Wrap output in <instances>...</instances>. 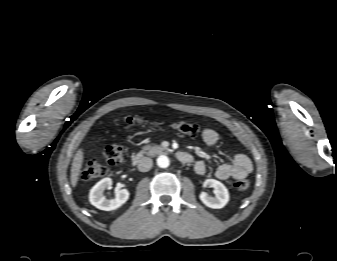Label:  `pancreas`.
Returning <instances> with one entry per match:
<instances>
[{"instance_id":"1","label":"pancreas","mask_w":337,"mask_h":261,"mask_svg":"<svg viewBox=\"0 0 337 261\" xmlns=\"http://www.w3.org/2000/svg\"><path fill=\"white\" fill-rule=\"evenodd\" d=\"M169 151V149H166L162 146H158V145H154V146H151V145H146L142 148L141 150V154H147L149 156H155L157 154H162L164 152H167Z\"/></svg>"}]
</instances>
